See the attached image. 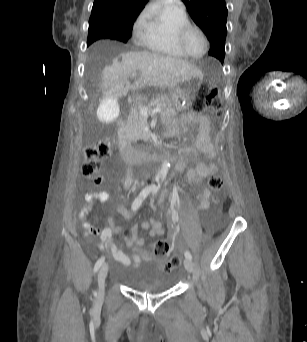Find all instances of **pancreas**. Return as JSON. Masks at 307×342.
<instances>
[{"mask_svg":"<svg viewBox=\"0 0 307 342\" xmlns=\"http://www.w3.org/2000/svg\"><path fill=\"white\" fill-rule=\"evenodd\" d=\"M172 102V99L170 97L164 98H155V100H151L148 108L150 110H153V108H161L163 116L166 118L168 116H177V112L175 110H172V108H168V104ZM132 124H136L135 132L136 134H140V138L144 140L146 138L147 134L144 132V128H146V120L144 117L140 115V112H132V116H130Z\"/></svg>","mask_w":307,"mask_h":342,"instance_id":"1","label":"pancreas"}]
</instances>
